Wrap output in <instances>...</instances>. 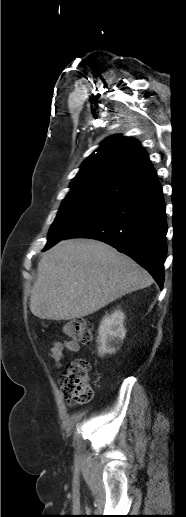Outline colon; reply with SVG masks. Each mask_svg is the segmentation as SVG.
Returning a JSON list of instances; mask_svg holds the SVG:
<instances>
[{"label": "colon", "mask_w": 186, "mask_h": 517, "mask_svg": "<svg viewBox=\"0 0 186 517\" xmlns=\"http://www.w3.org/2000/svg\"><path fill=\"white\" fill-rule=\"evenodd\" d=\"M93 325L90 321L77 318L62 326V333L75 342L89 343L92 340ZM90 365L86 359L69 362L59 379L60 391L69 405H83L91 401L93 389L89 378Z\"/></svg>", "instance_id": "obj_1"}]
</instances>
